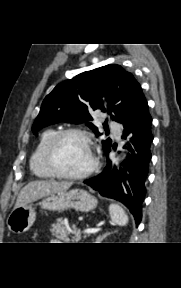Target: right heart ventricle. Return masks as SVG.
Returning <instances> with one entry per match:
<instances>
[{"label": "right heart ventricle", "mask_w": 181, "mask_h": 288, "mask_svg": "<svg viewBox=\"0 0 181 288\" xmlns=\"http://www.w3.org/2000/svg\"><path fill=\"white\" fill-rule=\"evenodd\" d=\"M56 134V130L48 129L46 130L35 150L33 151L31 158H30V170L31 172L40 179H54L57 177L47 166L45 161V152L47 146L52 139V137Z\"/></svg>", "instance_id": "obj_1"}]
</instances>
